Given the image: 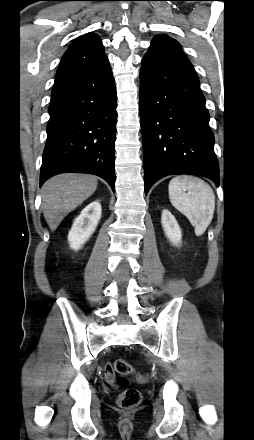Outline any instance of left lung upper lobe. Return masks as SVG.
Returning a JSON list of instances; mask_svg holds the SVG:
<instances>
[{
    "instance_id": "5c2ea615",
    "label": "left lung upper lobe",
    "mask_w": 254,
    "mask_h": 440,
    "mask_svg": "<svg viewBox=\"0 0 254 440\" xmlns=\"http://www.w3.org/2000/svg\"><path fill=\"white\" fill-rule=\"evenodd\" d=\"M149 52L169 55L174 58L188 60L179 43L167 35H155L151 41Z\"/></svg>"
}]
</instances>
